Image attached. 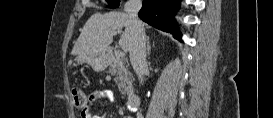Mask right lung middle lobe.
I'll use <instances>...</instances> for the list:
<instances>
[{"label":"right lung middle lobe","instance_id":"right-lung-middle-lobe-1","mask_svg":"<svg viewBox=\"0 0 273 118\" xmlns=\"http://www.w3.org/2000/svg\"><path fill=\"white\" fill-rule=\"evenodd\" d=\"M107 2L109 8H117L119 7L120 0H107Z\"/></svg>","mask_w":273,"mask_h":118}]
</instances>
